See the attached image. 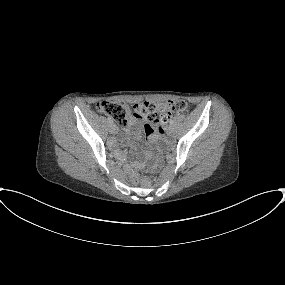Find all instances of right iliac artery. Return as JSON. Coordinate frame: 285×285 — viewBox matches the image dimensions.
I'll return each instance as SVG.
<instances>
[{
	"mask_svg": "<svg viewBox=\"0 0 285 285\" xmlns=\"http://www.w3.org/2000/svg\"><path fill=\"white\" fill-rule=\"evenodd\" d=\"M108 121H109V123H112V122H113L110 117H108Z\"/></svg>",
	"mask_w": 285,
	"mask_h": 285,
	"instance_id": "right-iliac-artery-1",
	"label": "right iliac artery"
}]
</instances>
